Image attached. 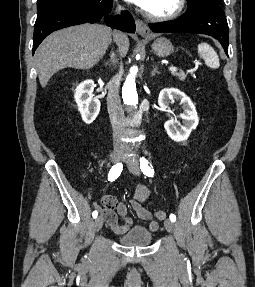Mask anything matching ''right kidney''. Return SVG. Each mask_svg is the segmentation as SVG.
Here are the masks:
<instances>
[{
	"instance_id": "ca27d5eb",
	"label": "right kidney",
	"mask_w": 255,
	"mask_h": 287,
	"mask_svg": "<svg viewBox=\"0 0 255 287\" xmlns=\"http://www.w3.org/2000/svg\"><path fill=\"white\" fill-rule=\"evenodd\" d=\"M94 82L85 80L77 86L74 94L75 102L85 124H92L100 112V102L93 98Z\"/></svg>"
}]
</instances>
